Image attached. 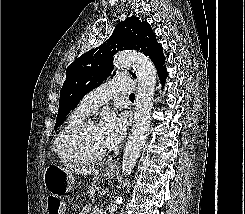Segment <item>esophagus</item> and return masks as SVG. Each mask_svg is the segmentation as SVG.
Wrapping results in <instances>:
<instances>
[{"mask_svg":"<svg viewBox=\"0 0 245 214\" xmlns=\"http://www.w3.org/2000/svg\"><path fill=\"white\" fill-rule=\"evenodd\" d=\"M117 164L116 163H113V164H110L109 166L110 167H114V166H116Z\"/></svg>","mask_w":245,"mask_h":214,"instance_id":"esophagus-1","label":"esophagus"}]
</instances>
